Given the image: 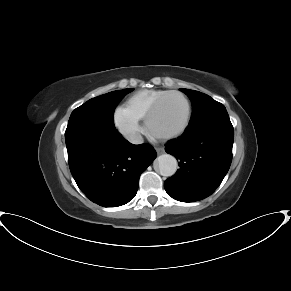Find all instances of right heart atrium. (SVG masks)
<instances>
[{"label":"right heart atrium","instance_id":"obj_1","mask_svg":"<svg viewBox=\"0 0 291 291\" xmlns=\"http://www.w3.org/2000/svg\"><path fill=\"white\" fill-rule=\"evenodd\" d=\"M113 122L119 132L128 140L135 139L140 131V118L123 105L116 108Z\"/></svg>","mask_w":291,"mask_h":291}]
</instances>
